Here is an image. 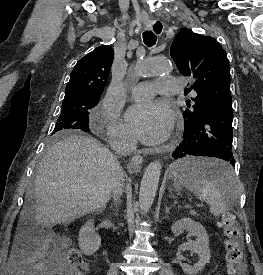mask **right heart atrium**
<instances>
[{"mask_svg":"<svg viewBox=\"0 0 263 275\" xmlns=\"http://www.w3.org/2000/svg\"><path fill=\"white\" fill-rule=\"evenodd\" d=\"M97 122L102 129L106 130L108 136L114 142L123 145H129L132 143L130 133L123 124L117 121L116 112L113 107H111L108 100L103 102Z\"/></svg>","mask_w":263,"mask_h":275,"instance_id":"obj_1","label":"right heart atrium"}]
</instances>
